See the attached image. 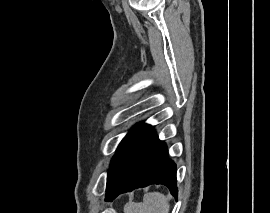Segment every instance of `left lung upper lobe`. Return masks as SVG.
Returning <instances> with one entry per match:
<instances>
[{
  "label": "left lung upper lobe",
  "mask_w": 270,
  "mask_h": 213,
  "mask_svg": "<svg viewBox=\"0 0 270 213\" xmlns=\"http://www.w3.org/2000/svg\"><path fill=\"white\" fill-rule=\"evenodd\" d=\"M140 126V124L135 125L130 131L129 133L125 136V138L121 141V143L119 144L117 151L111 161V165L113 163V161L115 160L117 154L119 153V151L123 148V146L125 145V143L129 140V138L135 133V131L138 129V127Z\"/></svg>",
  "instance_id": "obj_1"
}]
</instances>
